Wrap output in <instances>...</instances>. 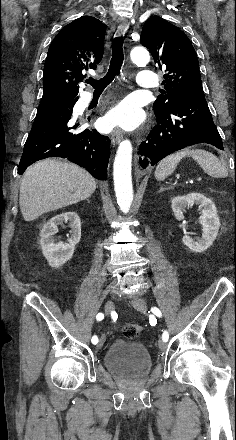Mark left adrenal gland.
<instances>
[{"label": "left adrenal gland", "instance_id": "1", "mask_svg": "<svg viewBox=\"0 0 236 440\" xmlns=\"http://www.w3.org/2000/svg\"><path fill=\"white\" fill-rule=\"evenodd\" d=\"M172 188H173L172 186H169V187H166V188L161 187V188L159 189V192H162V191H164V190H168V189H172Z\"/></svg>", "mask_w": 236, "mask_h": 440}]
</instances>
